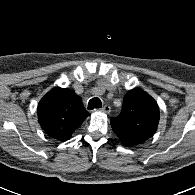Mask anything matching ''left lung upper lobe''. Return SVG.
I'll use <instances>...</instances> for the list:
<instances>
[{"instance_id":"1","label":"left lung upper lobe","mask_w":195,"mask_h":195,"mask_svg":"<svg viewBox=\"0 0 195 195\" xmlns=\"http://www.w3.org/2000/svg\"><path fill=\"white\" fill-rule=\"evenodd\" d=\"M158 122L156 101L142 89L136 88L125 95L122 112L111 120V126L122 144L131 147L151 138Z\"/></svg>"}]
</instances>
